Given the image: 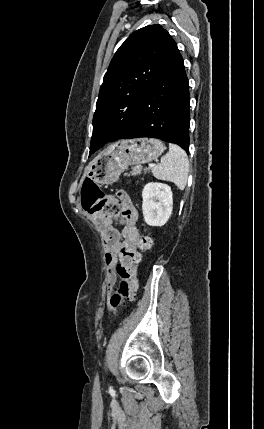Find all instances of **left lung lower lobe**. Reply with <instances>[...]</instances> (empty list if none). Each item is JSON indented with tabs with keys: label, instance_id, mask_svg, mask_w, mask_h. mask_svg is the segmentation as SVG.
<instances>
[{
	"label": "left lung lower lobe",
	"instance_id": "left-lung-lower-lobe-1",
	"mask_svg": "<svg viewBox=\"0 0 264 429\" xmlns=\"http://www.w3.org/2000/svg\"><path fill=\"white\" fill-rule=\"evenodd\" d=\"M190 95L183 58L172 39L162 66L147 89L134 126L124 139L152 137L189 148Z\"/></svg>",
	"mask_w": 264,
	"mask_h": 429
}]
</instances>
